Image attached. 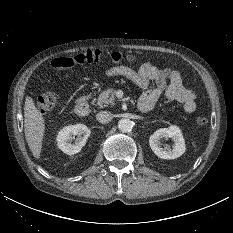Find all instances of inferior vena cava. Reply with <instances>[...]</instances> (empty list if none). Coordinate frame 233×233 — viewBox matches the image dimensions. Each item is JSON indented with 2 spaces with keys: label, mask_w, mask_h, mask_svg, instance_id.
Listing matches in <instances>:
<instances>
[{
  "label": "inferior vena cava",
  "mask_w": 233,
  "mask_h": 233,
  "mask_svg": "<svg viewBox=\"0 0 233 233\" xmlns=\"http://www.w3.org/2000/svg\"><path fill=\"white\" fill-rule=\"evenodd\" d=\"M113 118V115L109 111H101L97 113L96 119L100 123H109Z\"/></svg>",
  "instance_id": "inferior-vena-cava-1"
}]
</instances>
